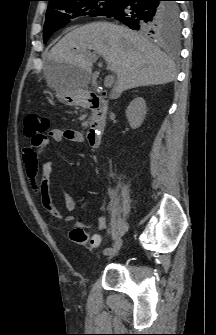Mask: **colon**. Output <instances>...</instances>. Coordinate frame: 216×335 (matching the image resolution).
<instances>
[{"mask_svg": "<svg viewBox=\"0 0 216 335\" xmlns=\"http://www.w3.org/2000/svg\"><path fill=\"white\" fill-rule=\"evenodd\" d=\"M49 119L37 112H29L25 117V135L30 139L32 147H36L45 137L49 129ZM70 239L78 245L98 246V238H89L82 228H73Z\"/></svg>", "mask_w": 216, "mask_h": 335, "instance_id": "1", "label": "colon"}]
</instances>
